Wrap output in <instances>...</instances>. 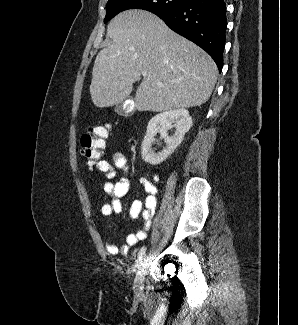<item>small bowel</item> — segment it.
I'll return each mask as SVG.
<instances>
[{
	"label": "small bowel",
	"instance_id": "c3829d8e",
	"mask_svg": "<svg viewBox=\"0 0 298 325\" xmlns=\"http://www.w3.org/2000/svg\"><path fill=\"white\" fill-rule=\"evenodd\" d=\"M99 173L103 174L107 179L104 185V191L107 193L111 200L105 203L101 212L105 217L112 218L118 215L122 210V198L128 193L130 182L124 176L113 182L116 176V171L121 170L124 174L128 173L129 166L126 157L119 152L111 155L110 160H100L96 164ZM160 178L154 174L152 179L141 178L140 183L143 185L146 196L143 201L136 200L130 206V219L135 221L140 218L142 221V228L135 233H131L126 238V243L123 245H116L114 243H106L105 249L109 254H125L129 248L135 246L140 241L144 240L149 229L153 216L156 211L157 200L156 195L158 192V184Z\"/></svg>",
	"mask_w": 298,
	"mask_h": 325
}]
</instances>
